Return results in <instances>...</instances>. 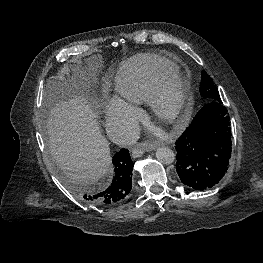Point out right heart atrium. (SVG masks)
Instances as JSON below:
<instances>
[{
	"label": "right heart atrium",
	"mask_w": 263,
	"mask_h": 263,
	"mask_svg": "<svg viewBox=\"0 0 263 263\" xmlns=\"http://www.w3.org/2000/svg\"><path fill=\"white\" fill-rule=\"evenodd\" d=\"M106 115L111 126L120 127L128 133L137 128L138 112L121 101L110 100L106 105Z\"/></svg>",
	"instance_id": "1"
}]
</instances>
